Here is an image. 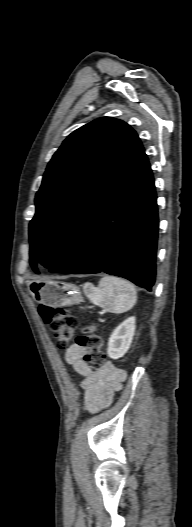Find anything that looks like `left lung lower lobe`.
<instances>
[{
  "mask_svg": "<svg viewBox=\"0 0 192 527\" xmlns=\"http://www.w3.org/2000/svg\"><path fill=\"white\" fill-rule=\"evenodd\" d=\"M157 237L155 186L143 153L110 188L50 271H103L151 291Z\"/></svg>",
  "mask_w": 192,
  "mask_h": 527,
  "instance_id": "1",
  "label": "left lung lower lobe"
}]
</instances>
